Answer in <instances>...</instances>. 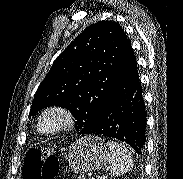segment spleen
Masks as SVG:
<instances>
[{"instance_id":"3e777b00","label":"spleen","mask_w":183,"mask_h":179,"mask_svg":"<svg viewBox=\"0 0 183 179\" xmlns=\"http://www.w3.org/2000/svg\"><path fill=\"white\" fill-rule=\"evenodd\" d=\"M107 145L110 150L109 163L111 165L109 174L112 177L120 176L130 171L133 166L131 153L122 144L115 141H108Z\"/></svg>"}]
</instances>
